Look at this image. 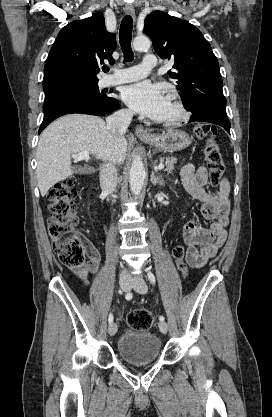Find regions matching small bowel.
Here are the masks:
<instances>
[{
  "mask_svg": "<svg viewBox=\"0 0 272 417\" xmlns=\"http://www.w3.org/2000/svg\"><path fill=\"white\" fill-rule=\"evenodd\" d=\"M181 180L189 195L201 202L200 216L188 221L183 228V238L188 245L185 259L194 268L203 267L224 245L229 224L230 184L227 179L221 181L215 191L208 190V173L204 166L195 167L191 163L182 166ZM211 221L209 228L202 226ZM87 262L72 266L71 270L89 286V277L95 276L99 269L100 254L88 241H85Z\"/></svg>",
  "mask_w": 272,
  "mask_h": 417,
  "instance_id": "c3829d8e",
  "label": "small bowel"
}]
</instances>
